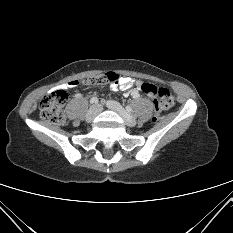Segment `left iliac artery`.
<instances>
[{
    "mask_svg": "<svg viewBox=\"0 0 233 233\" xmlns=\"http://www.w3.org/2000/svg\"><path fill=\"white\" fill-rule=\"evenodd\" d=\"M126 110H127L128 112H132V108H131L130 106H126Z\"/></svg>",
    "mask_w": 233,
    "mask_h": 233,
    "instance_id": "44dca946",
    "label": "left iliac artery"
}]
</instances>
